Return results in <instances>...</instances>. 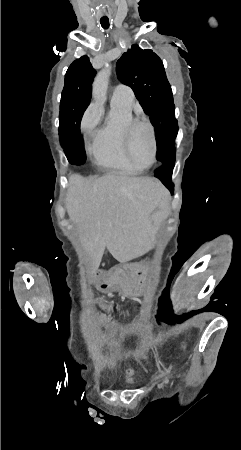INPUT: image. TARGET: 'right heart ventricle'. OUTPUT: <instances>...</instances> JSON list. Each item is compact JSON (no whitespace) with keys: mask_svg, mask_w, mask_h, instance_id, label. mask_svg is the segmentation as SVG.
I'll list each match as a JSON object with an SVG mask.
<instances>
[{"mask_svg":"<svg viewBox=\"0 0 241 450\" xmlns=\"http://www.w3.org/2000/svg\"><path fill=\"white\" fill-rule=\"evenodd\" d=\"M132 118L131 104L121 101L112 102V110L106 122L98 125L97 130H84L85 141L94 161L103 167L130 169L135 161L126 162V153L122 152L121 127ZM132 152V151H131Z\"/></svg>","mask_w":241,"mask_h":450,"instance_id":"obj_1","label":"right heart ventricle"}]
</instances>
